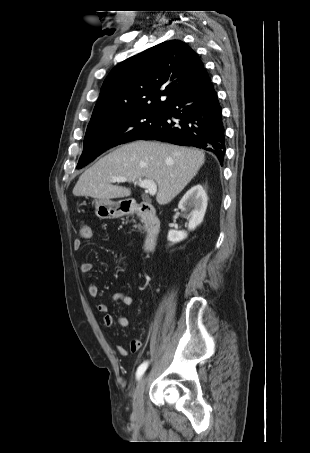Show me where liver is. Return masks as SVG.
<instances>
[{
	"instance_id": "liver-1",
	"label": "liver",
	"mask_w": 310,
	"mask_h": 453,
	"mask_svg": "<svg viewBox=\"0 0 310 453\" xmlns=\"http://www.w3.org/2000/svg\"><path fill=\"white\" fill-rule=\"evenodd\" d=\"M204 161L205 154L195 148L156 141L131 142L110 152L87 169L79 177L73 195L107 200L128 197L131 190L112 185V177L144 178L156 182V201L166 205L192 180Z\"/></svg>"
}]
</instances>
